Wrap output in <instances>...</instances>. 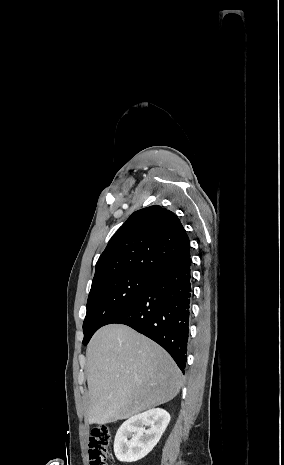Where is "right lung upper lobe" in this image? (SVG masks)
Returning a JSON list of instances; mask_svg holds the SVG:
<instances>
[{"label": "right lung upper lobe", "instance_id": "cb5924a9", "mask_svg": "<svg viewBox=\"0 0 284 465\" xmlns=\"http://www.w3.org/2000/svg\"><path fill=\"white\" fill-rule=\"evenodd\" d=\"M190 253L178 217L154 205L131 214L100 255L92 284L124 274L154 277Z\"/></svg>", "mask_w": 284, "mask_h": 465}]
</instances>
